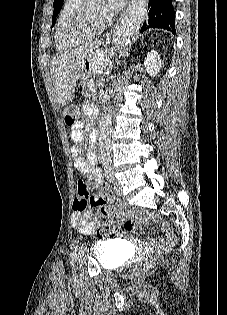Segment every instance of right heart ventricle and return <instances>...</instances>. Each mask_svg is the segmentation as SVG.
I'll use <instances>...</instances> for the list:
<instances>
[{"label":"right heart ventricle","mask_w":227,"mask_h":315,"mask_svg":"<svg viewBox=\"0 0 227 315\" xmlns=\"http://www.w3.org/2000/svg\"><path fill=\"white\" fill-rule=\"evenodd\" d=\"M81 3V0H64L62 8L57 18L56 29H55V45L58 50L70 49L81 42L88 40L89 38H82L79 41H71L67 38L65 29L67 22L73 14L76 7Z\"/></svg>","instance_id":"obj_1"}]
</instances>
